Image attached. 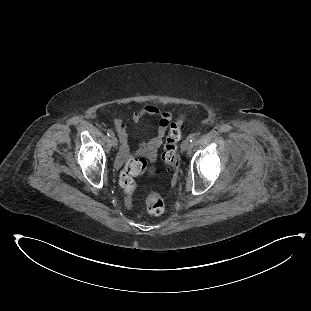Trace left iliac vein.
Instances as JSON below:
<instances>
[{
    "mask_svg": "<svg viewBox=\"0 0 311 311\" xmlns=\"http://www.w3.org/2000/svg\"><path fill=\"white\" fill-rule=\"evenodd\" d=\"M189 147H190V142L188 139H185L181 144V150L186 151L189 149Z\"/></svg>",
    "mask_w": 311,
    "mask_h": 311,
    "instance_id": "4c4485c4",
    "label": "left iliac vein"
}]
</instances>
